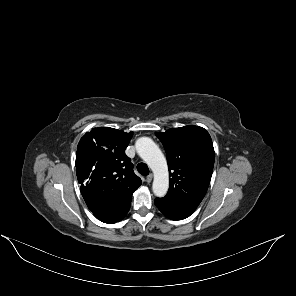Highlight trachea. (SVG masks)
I'll use <instances>...</instances> for the list:
<instances>
[{
  "label": "trachea",
  "mask_w": 296,
  "mask_h": 296,
  "mask_svg": "<svg viewBox=\"0 0 296 296\" xmlns=\"http://www.w3.org/2000/svg\"><path fill=\"white\" fill-rule=\"evenodd\" d=\"M137 170L143 176H147L149 174V168L145 163H139L137 165Z\"/></svg>",
  "instance_id": "trachea-1"
}]
</instances>
